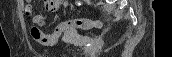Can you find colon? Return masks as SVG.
<instances>
[{
	"label": "colon",
	"instance_id": "colon-1",
	"mask_svg": "<svg viewBox=\"0 0 172 57\" xmlns=\"http://www.w3.org/2000/svg\"><path fill=\"white\" fill-rule=\"evenodd\" d=\"M26 13L28 15L31 14V11L29 8H27ZM51 11V10H49ZM70 26H75L79 29H93V28H99L100 27V23L96 20H90V19H84V18H79V19H74L71 20L69 22H63L61 24H59L56 28L55 31L56 33H62L64 31H66ZM40 36V34L37 36V38Z\"/></svg>",
	"mask_w": 172,
	"mask_h": 57
}]
</instances>
